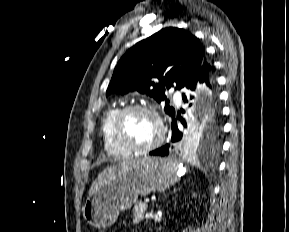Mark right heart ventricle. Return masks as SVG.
<instances>
[{"mask_svg": "<svg viewBox=\"0 0 289 232\" xmlns=\"http://www.w3.org/2000/svg\"><path fill=\"white\" fill-rule=\"evenodd\" d=\"M119 110V107L109 109L104 115L101 123V136L104 149L109 155L116 157L127 156L129 154L127 151L117 145L112 135L113 121Z\"/></svg>", "mask_w": 289, "mask_h": 232, "instance_id": "right-heart-ventricle-1", "label": "right heart ventricle"}]
</instances>
